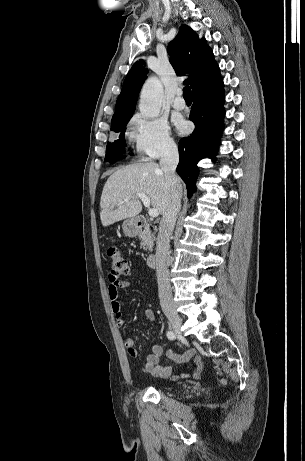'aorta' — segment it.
Instances as JSON below:
<instances>
[{"instance_id": "1", "label": "aorta", "mask_w": 305, "mask_h": 461, "mask_svg": "<svg viewBox=\"0 0 305 461\" xmlns=\"http://www.w3.org/2000/svg\"><path fill=\"white\" fill-rule=\"evenodd\" d=\"M163 101V87L157 77L147 79L140 95V112L148 117L155 118L160 114Z\"/></svg>"}]
</instances>
